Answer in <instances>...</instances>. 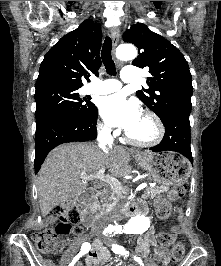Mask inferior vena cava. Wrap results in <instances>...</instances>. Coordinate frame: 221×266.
I'll return each instance as SVG.
<instances>
[{"instance_id": "obj_1", "label": "inferior vena cava", "mask_w": 221, "mask_h": 266, "mask_svg": "<svg viewBox=\"0 0 221 266\" xmlns=\"http://www.w3.org/2000/svg\"><path fill=\"white\" fill-rule=\"evenodd\" d=\"M98 143H99V147L100 149L108 154L109 151L112 149V144H113V137L111 136V131L110 129L107 128H102L99 130L98 133V137H97ZM109 214H113V212H109L108 215H106L105 217L100 218L97 221V226L98 227H105L107 225V223L109 222Z\"/></svg>"}]
</instances>
